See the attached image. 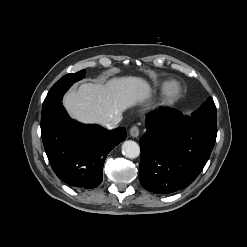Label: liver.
Wrapping results in <instances>:
<instances>
[{
  "label": "liver",
  "mask_w": 247,
  "mask_h": 247,
  "mask_svg": "<svg viewBox=\"0 0 247 247\" xmlns=\"http://www.w3.org/2000/svg\"><path fill=\"white\" fill-rule=\"evenodd\" d=\"M152 89L141 77L112 78L106 83H83L68 92L63 104L79 122L106 125L122 113L149 99Z\"/></svg>",
  "instance_id": "6515ba94"
}]
</instances>
